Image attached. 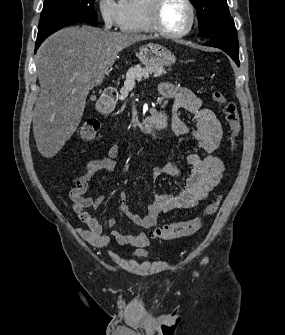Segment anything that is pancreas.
I'll return each mask as SVG.
<instances>
[{
  "instance_id": "cf45deb5",
  "label": "pancreas",
  "mask_w": 285,
  "mask_h": 335,
  "mask_svg": "<svg viewBox=\"0 0 285 335\" xmlns=\"http://www.w3.org/2000/svg\"><path fill=\"white\" fill-rule=\"evenodd\" d=\"M133 71H126L123 86L120 87L121 93H130L131 90H136L137 85L142 83V78L145 81H152L154 77H159L164 74L165 70L163 66H135L132 68Z\"/></svg>"
}]
</instances>
